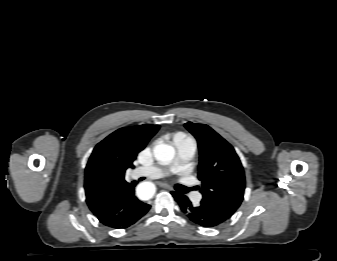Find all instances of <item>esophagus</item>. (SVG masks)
I'll use <instances>...</instances> for the list:
<instances>
[{"instance_id":"esophagus-1","label":"esophagus","mask_w":337,"mask_h":261,"mask_svg":"<svg viewBox=\"0 0 337 261\" xmlns=\"http://www.w3.org/2000/svg\"><path fill=\"white\" fill-rule=\"evenodd\" d=\"M160 186L162 188H165V189H168V190H172L171 187L169 185H167V184L161 183Z\"/></svg>"}]
</instances>
